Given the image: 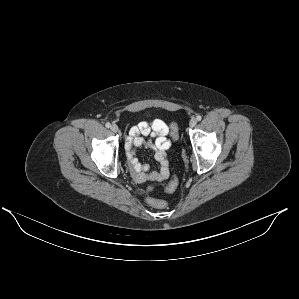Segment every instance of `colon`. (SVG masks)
<instances>
[{"mask_svg": "<svg viewBox=\"0 0 299 299\" xmlns=\"http://www.w3.org/2000/svg\"><path fill=\"white\" fill-rule=\"evenodd\" d=\"M177 124L173 123L171 125V135L175 138L177 136ZM178 186V182L176 179H173L165 188L167 193H173ZM147 203L157 209H166L168 208V203L165 200L154 198V197H147Z\"/></svg>", "mask_w": 299, "mask_h": 299, "instance_id": "colon-1", "label": "colon"}]
</instances>
